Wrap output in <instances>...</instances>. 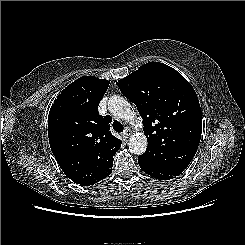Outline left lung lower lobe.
Segmentation results:
<instances>
[{
    "mask_svg": "<svg viewBox=\"0 0 245 245\" xmlns=\"http://www.w3.org/2000/svg\"><path fill=\"white\" fill-rule=\"evenodd\" d=\"M141 169L147 173L148 175L154 177V178H157L159 180H170V179H173L175 178V176H170V175H164L158 171H155V170H151L149 168H146V167H143V166H140Z\"/></svg>",
    "mask_w": 245,
    "mask_h": 245,
    "instance_id": "0a47b994",
    "label": "left lung lower lobe"
}]
</instances>
